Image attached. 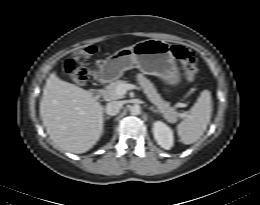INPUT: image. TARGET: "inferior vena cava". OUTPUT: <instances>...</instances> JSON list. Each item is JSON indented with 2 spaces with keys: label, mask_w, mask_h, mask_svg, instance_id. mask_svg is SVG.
Masks as SVG:
<instances>
[{
  "label": "inferior vena cava",
  "mask_w": 260,
  "mask_h": 205,
  "mask_svg": "<svg viewBox=\"0 0 260 205\" xmlns=\"http://www.w3.org/2000/svg\"><path fill=\"white\" fill-rule=\"evenodd\" d=\"M121 102L119 101H112V102H109L107 103L106 105V113L110 116H114L116 114L119 113L120 109H121Z\"/></svg>",
  "instance_id": "1"
}]
</instances>
